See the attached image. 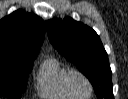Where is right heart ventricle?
<instances>
[{
  "instance_id": "right-heart-ventricle-1",
  "label": "right heart ventricle",
  "mask_w": 128,
  "mask_h": 99,
  "mask_svg": "<svg viewBox=\"0 0 128 99\" xmlns=\"http://www.w3.org/2000/svg\"><path fill=\"white\" fill-rule=\"evenodd\" d=\"M70 69L58 58L49 57L41 65L36 85L39 95L46 99H73L66 85Z\"/></svg>"
}]
</instances>
